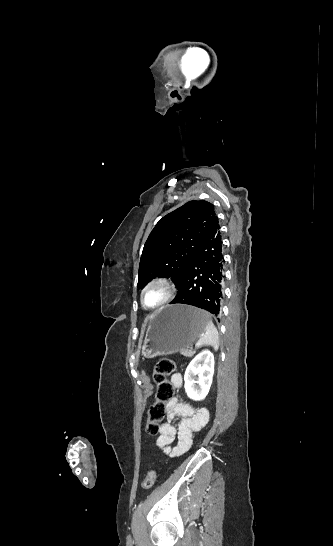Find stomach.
Returning <instances> with one entry per match:
<instances>
[{
  "instance_id": "stomach-1",
  "label": "stomach",
  "mask_w": 333,
  "mask_h": 546,
  "mask_svg": "<svg viewBox=\"0 0 333 546\" xmlns=\"http://www.w3.org/2000/svg\"><path fill=\"white\" fill-rule=\"evenodd\" d=\"M209 315L196 307L176 304L155 312L150 319L141 354L145 358L174 354L192 347L206 331Z\"/></svg>"
}]
</instances>
